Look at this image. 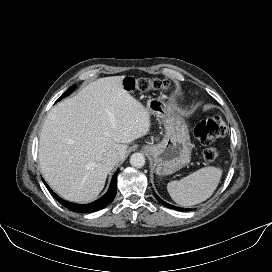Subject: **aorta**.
Here are the masks:
<instances>
[{"mask_svg":"<svg viewBox=\"0 0 272 272\" xmlns=\"http://www.w3.org/2000/svg\"><path fill=\"white\" fill-rule=\"evenodd\" d=\"M130 164L133 167L141 168L145 165V157L141 153H134L130 157Z\"/></svg>","mask_w":272,"mask_h":272,"instance_id":"obj_1","label":"aorta"}]
</instances>
